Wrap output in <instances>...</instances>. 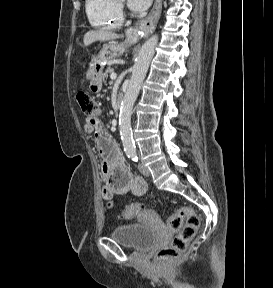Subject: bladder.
I'll return each instance as SVG.
<instances>
[{
    "label": "bladder",
    "mask_w": 273,
    "mask_h": 288,
    "mask_svg": "<svg viewBox=\"0 0 273 288\" xmlns=\"http://www.w3.org/2000/svg\"><path fill=\"white\" fill-rule=\"evenodd\" d=\"M111 237L125 247L147 251L157 243L158 233L155 229L140 224H127L116 227Z\"/></svg>",
    "instance_id": "31cf9c89"
}]
</instances>
